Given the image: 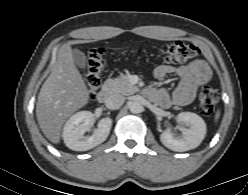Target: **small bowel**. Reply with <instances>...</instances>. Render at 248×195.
I'll return each instance as SVG.
<instances>
[{
  "label": "small bowel",
  "instance_id": "1",
  "mask_svg": "<svg viewBox=\"0 0 248 195\" xmlns=\"http://www.w3.org/2000/svg\"><path fill=\"white\" fill-rule=\"evenodd\" d=\"M171 73L180 78L179 84L172 93H168L164 89L152 88L148 90L150 98L165 108L188 105L193 101L198 89L209 83L212 78L210 69L201 60L179 66L161 64L154 70L157 79H163Z\"/></svg>",
  "mask_w": 248,
  "mask_h": 195
}]
</instances>
